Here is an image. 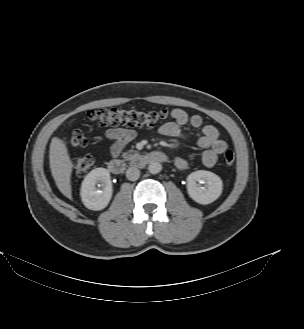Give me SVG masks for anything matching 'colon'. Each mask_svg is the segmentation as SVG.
I'll return each instance as SVG.
<instances>
[{
	"label": "colon",
	"mask_w": 304,
	"mask_h": 329,
	"mask_svg": "<svg viewBox=\"0 0 304 329\" xmlns=\"http://www.w3.org/2000/svg\"><path fill=\"white\" fill-rule=\"evenodd\" d=\"M170 115L166 110L160 111H137L131 109L119 108H101L91 110L88 113V118L99 126L125 124L129 126H146L155 127L162 125L168 121ZM88 142L84 131L76 130L69 141L71 148L85 146ZM224 160L227 165H232L235 162L233 151L227 150L224 155ZM94 164V159L91 155H85L78 158L74 162V174L77 177H82L88 173Z\"/></svg>",
	"instance_id": "obj_1"
}]
</instances>
